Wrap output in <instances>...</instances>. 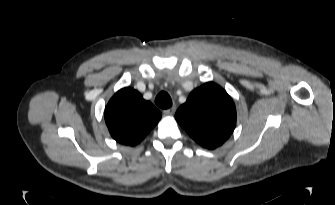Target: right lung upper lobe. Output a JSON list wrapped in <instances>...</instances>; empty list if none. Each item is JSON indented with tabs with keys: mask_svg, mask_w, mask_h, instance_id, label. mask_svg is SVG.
<instances>
[{
	"mask_svg": "<svg viewBox=\"0 0 335 205\" xmlns=\"http://www.w3.org/2000/svg\"><path fill=\"white\" fill-rule=\"evenodd\" d=\"M105 122L119 143L134 146L141 142L161 119V112L136 90H119L105 108Z\"/></svg>",
	"mask_w": 335,
	"mask_h": 205,
	"instance_id": "right-lung-upper-lobe-1",
	"label": "right lung upper lobe"
}]
</instances>
